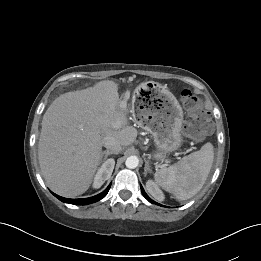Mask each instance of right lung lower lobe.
Instances as JSON below:
<instances>
[{
	"instance_id": "98d812e1",
	"label": "right lung lower lobe",
	"mask_w": 261,
	"mask_h": 261,
	"mask_svg": "<svg viewBox=\"0 0 261 261\" xmlns=\"http://www.w3.org/2000/svg\"><path fill=\"white\" fill-rule=\"evenodd\" d=\"M110 186H111V184L102 193H100L96 196L84 198V199H68V198H63L61 196H58L54 193H53V195H55L59 200H61L62 202H65V203H70V204H75V205H87V204L97 202V201L101 200L102 198H104L107 195V193L110 189Z\"/></svg>"
}]
</instances>
